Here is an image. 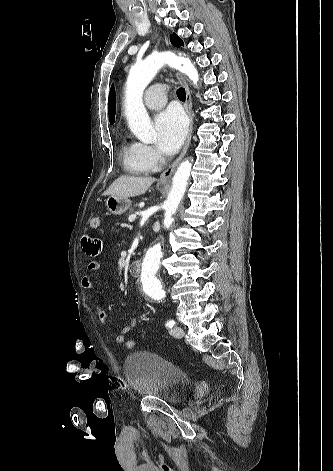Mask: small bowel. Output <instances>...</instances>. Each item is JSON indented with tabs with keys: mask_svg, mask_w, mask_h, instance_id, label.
<instances>
[{
	"mask_svg": "<svg viewBox=\"0 0 333 471\" xmlns=\"http://www.w3.org/2000/svg\"><path fill=\"white\" fill-rule=\"evenodd\" d=\"M82 246L85 253L89 256H95L99 251V241L90 236H85L82 239ZM101 266L97 261H90L87 266L84 274L81 278L82 286L87 291H92L94 289V275L100 270ZM98 319L101 324L105 325L108 321L107 313L104 309L97 306L96 307ZM138 324V319L133 317L130 319L128 325H125L121 328L120 333L116 335L115 342L123 344L126 341V335Z\"/></svg>",
	"mask_w": 333,
	"mask_h": 471,
	"instance_id": "1",
	"label": "small bowel"
}]
</instances>
